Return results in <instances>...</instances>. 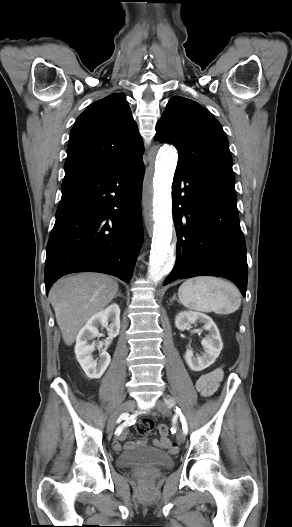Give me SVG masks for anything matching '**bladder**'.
Segmentation results:
<instances>
[{"label": "bladder", "mask_w": 292, "mask_h": 527, "mask_svg": "<svg viewBox=\"0 0 292 527\" xmlns=\"http://www.w3.org/2000/svg\"><path fill=\"white\" fill-rule=\"evenodd\" d=\"M121 468L132 466H161L170 467L173 458L165 451L151 447H133L121 453L117 459Z\"/></svg>", "instance_id": "31cf9c89"}]
</instances>
